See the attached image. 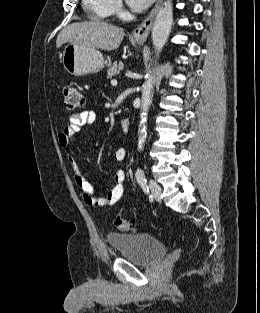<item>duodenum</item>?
Here are the masks:
<instances>
[{
  "instance_id": "obj_1",
  "label": "duodenum",
  "mask_w": 260,
  "mask_h": 313,
  "mask_svg": "<svg viewBox=\"0 0 260 313\" xmlns=\"http://www.w3.org/2000/svg\"><path fill=\"white\" fill-rule=\"evenodd\" d=\"M121 127L124 134H128L130 132V122L128 119H122Z\"/></svg>"
}]
</instances>
